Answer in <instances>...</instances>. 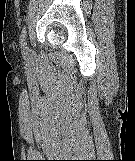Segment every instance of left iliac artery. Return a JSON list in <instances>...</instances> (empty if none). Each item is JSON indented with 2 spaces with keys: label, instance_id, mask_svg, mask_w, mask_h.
<instances>
[{
  "label": "left iliac artery",
  "instance_id": "obj_1",
  "mask_svg": "<svg viewBox=\"0 0 135 161\" xmlns=\"http://www.w3.org/2000/svg\"><path fill=\"white\" fill-rule=\"evenodd\" d=\"M26 27L22 29L21 36H20V43L23 55L27 57V41H26Z\"/></svg>",
  "mask_w": 135,
  "mask_h": 161
}]
</instances>
